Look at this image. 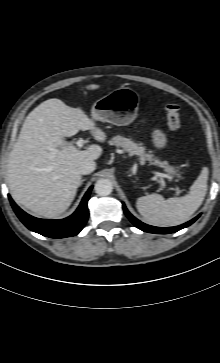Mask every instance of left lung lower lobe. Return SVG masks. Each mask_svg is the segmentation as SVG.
<instances>
[{"label":"left lung lower lobe","instance_id":"0a47b994","mask_svg":"<svg viewBox=\"0 0 220 363\" xmlns=\"http://www.w3.org/2000/svg\"><path fill=\"white\" fill-rule=\"evenodd\" d=\"M123 210L125 212V214L127 215V217L129 218V220L140 230L145 231V232H149V233H156V234H168V233H174L179 231L180 229H183L185 227H188L189 225H191L195 220L198 219V217L200 215H198L197 217H195L194 219H192L191 221L182 224L180 226L177 227H170V228H159V227H154V226H150L147 224L142 223L141 221H139L138 219H136L134 216H132L129 211L127 210V208L125 207V205L123 204Z\"/></svg>","mask_w":220,"mask_h":363}]
</instances>
